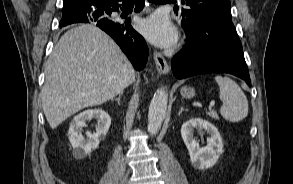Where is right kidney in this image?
<instances>
[{"instance_id": "right-kidney-1", "label": "right kidney", "mask_w": 293, "mask_h": 184, "mask_svg": "<svg viewBox=\"0 0 293 184\" xmlns=\"http://www.w3.org/2000/svg\"><path fill=\"white\" fill-rule=\"evenodd\" d=\"M98 120L96 133L86 132L87 139L82 135V128L86 126V121L91 119ZM111 125V118L102 109L86 110L78 114L72 120L68 137L73 147V156L77 159L84 158L98 148L100 140L104 139Z\"/></svg>"}]
</instances>
